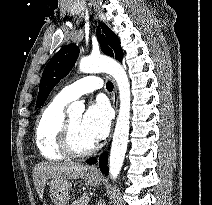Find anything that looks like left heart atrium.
Here are the masks:
<instances>
[{
  "label": "left heart atrium",
  "mask_w": 212,
  "mask_h": 205,
  "mask_svg": "<svg viewBox=\"0 0 212 205\" xmlns=\"http://www.w3.org/2000/svg\"><path fill=\"white\" fill-rule=\"evenodd\" d=\"M111 125V111L104 102H97L88 107L82 117V128L93 141L105 138Z\"/></svg>",
  "instance_id": "39dd6f15"
}]
</instances>
